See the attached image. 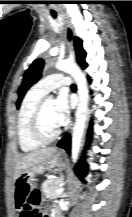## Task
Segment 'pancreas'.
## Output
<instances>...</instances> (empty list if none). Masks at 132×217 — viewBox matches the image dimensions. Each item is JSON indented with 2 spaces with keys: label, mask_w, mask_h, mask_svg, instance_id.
<instances>
[{
  "label": "pancreas",
  "mask_w": 132,
  "mask_h": 217,
  "mask_svg": "<svg viewBox=\"0 0 132 217\" xmlns=\"http://www.w3.org/2000/svg\"><path fill=\"white\" fill-rule=\"evenodd\" d=\"M63 183V177H55L47 179L42 184V192L49 199H56L62 196V193H57L56 190L60 188Z\"/></svg>",
  "instance_id": "cf45deb5"
}]
</instances>
